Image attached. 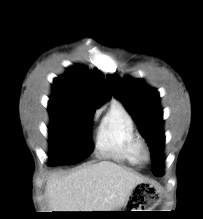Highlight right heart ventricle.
<instances>
[{
  "label": "right heart ventricle",
  "mask_w": 203,
  "mask_h": 219,
  "mask_svg": "<svg viewBox=\"0 0 203 219\" xmlns=\"http://www.w3.org/2000/svg\"><path fill=\"white\" fill-rule=\"evenodd\" d=\"M139 137L131 116L118 103H114L104 116L97 133L96 147L101 155L138 164Z\"/></svg>",
  "instance_id": "right-heart-ventricle-1"
}]
</instances>
